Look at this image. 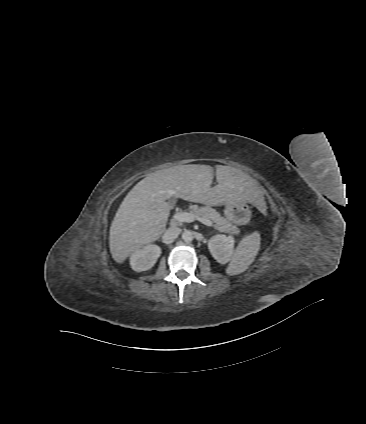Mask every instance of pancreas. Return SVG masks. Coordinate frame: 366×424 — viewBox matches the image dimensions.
Wrapping results in <instances>:
<instances>
[{"label":"pancreas","instance_id":"obj_1","mask_svg":"<svg viewBox=\"0 0 366 424\" xmlns=\"http://www.w3.org/2000/svg\"><path fill=\"white\" fill-rule=\"evenodd\" d=\"M190 212L196 214L199 217L213 220L215 222V228L220 232L232 233L235 235L240 233V230L235 225L222 217L215 209L211 208L210 206L200 208L193 206L190 208Z\"/></svg>","mask_w":366,"mask_h":424}]
</instances>
